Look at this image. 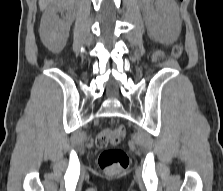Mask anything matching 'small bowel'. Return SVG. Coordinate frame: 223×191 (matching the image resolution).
Here are the masks:
<instances>
[{
    "mask_svg": "<svg viewBox=\"0 0 223 191\" xmlns=\"http://www.w3.org/2000/svg\"><path fill=\"white\" fill-rule=\"evenodd\" d=\"M160 54H161V53H160L159 51H157V52L155 53V56H154V57L157 58V57L160 56Z\"/></svg>",
    "mask_w": 223,
    "mask_h": 191,
    "instance_id": "1",
    "label": "small bowel"
}]
</instances>
